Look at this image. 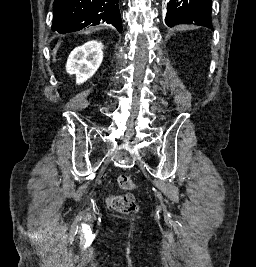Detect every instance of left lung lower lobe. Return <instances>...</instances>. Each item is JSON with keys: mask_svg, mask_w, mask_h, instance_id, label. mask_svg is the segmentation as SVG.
Masks as SVG:
<instances>
[{"mask_svg": "<svg viewBox=\"0 0 256 267\" xmlns=\"http://www.w3.org/2000/svg\"><path fill=\"white\" fill-rule=\"evenodd\" d=\"M176 24H181V23H169V24L167 23V25L170 26V27H172V26H174Z\"/></svg>", "mask_w": 256, "mask_h": 267, "instance_id": "obj_1", "label": "left lung lower lobe"}]
</instances>
